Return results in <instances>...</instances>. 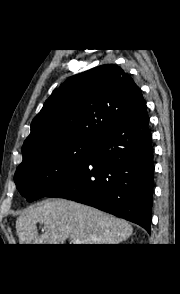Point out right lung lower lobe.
Listing matches in <instances>:
<instances>
[{"label": "right lung lower lobe", "instance_id": "right-lung-lower-lobe-1", "mask_svg": "<svg viewBox=\"0 0 180 294\" xmlns=\"http://www.w3.org/2000/svg\"><path fill=\"white\" fill-rule=\"evenodd\" d=\"M146 103L95 141L82 166L47 197L93 206L150 232L153 148Z\"/></svg>", "mask_w": 180, "mask_h": 294}]
</instances>
